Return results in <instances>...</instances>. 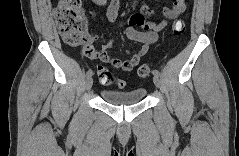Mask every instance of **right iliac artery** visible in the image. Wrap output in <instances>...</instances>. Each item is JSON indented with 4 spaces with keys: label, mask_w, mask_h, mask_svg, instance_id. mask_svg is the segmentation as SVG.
Here are the masks:
<instances>
[{
    "label": "right iliac artery",
    "mask_w": 239,
    "mask_h": 156,
    "mask_svg": "<svg viewBox=\"0 0 239 156\" xmlns=\"http://www.w3.org/2000/svg\"><path fill=\"white\" fill-rule=\"evenodd\" d=\"M93 75V71L91 69H89L86 73L87 77H91Z\"/></svg>",
    "instance_id": "1"
}]
</instances>
